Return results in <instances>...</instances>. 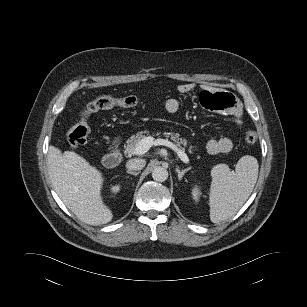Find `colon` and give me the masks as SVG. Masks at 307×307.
Listing matches in <instances>:
<instances>
[{
    "mask_svg": "<svg viewBox=\"0 0 307 307\" xmlns=\"http://www.w3.org/2000/svg\"><path fill=\"white\" fill-rule=\"evenodd\" d=\"M139 104V99L132 95L123 97H113L103 94L92 99L82 112L81 119L73 125L67 134L68 142L73 147H79L87 143L89 137V127L86 119L95 112L111 109L113 107L130 108ZM257 133L254 130H248L245 133L244 140L247 145H254L257 142Z\"/></svg>",
    "mask_w": 307,
    "mask_h": 307,
    "instance_id": "1",
    "label": "colon"
}]
</instances>
